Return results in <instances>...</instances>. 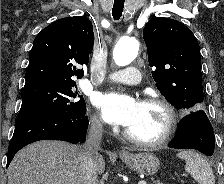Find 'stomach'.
<instances>
[{"label":"stomach","mask_w":224,"mask_h":184,"mask_svg":"<svg viewBox=\"0 0 224 184\" xmlns=\"http://www.w3.org/2000/svg\"><path fill=\"white\" fill-rule=\"evenodd\" d=\"M121 160L129 165L134 171L143 175H154L160 167L158 158L152 153L130 154L121 156Z\"/></svg>","instance_id":"obj_1"}]
</instances>
